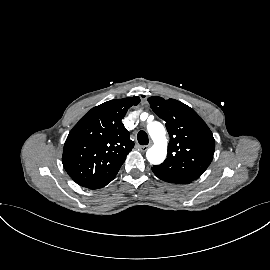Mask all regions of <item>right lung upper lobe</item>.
Instances as JSON below:
<instances>
[{
    "instance_id": "right-lung-upper-lobe-1",
    "label": "right lung upper lobe",
    "mask_w": 270,
    "mask_h": 270,
    "mask_svg": "<svg viewBox=\"0 0 270 270\" xmlns=\"http://www.w3.org/2000/svg\"><path fill=\"white\" fill-rule=\"evenodd\" d=\"M138 96L107 101L92 108L70 131L62 162L69 176L82 187L114 179L134 147L122 123Z\"/></svg>"
}]
</instances>
